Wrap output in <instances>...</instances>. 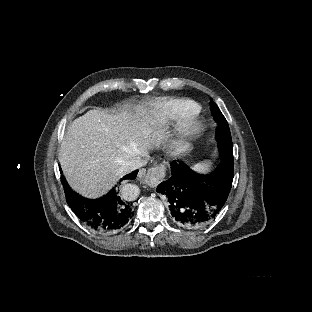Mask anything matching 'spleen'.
Instances as JSON below:
<instances>
[{"instance_id": "obj_1", "label": "spleen", "mask_w": 312, "mask_h": 312, "mask_svg": "<svg viewBox=\"0 0 312 312\" xmlns=\"http://www.w3.org/2000/svg\"><path fill=\"white\" fill-rule=\"evenodd\" d=\"M192 170L200 174H207L212 170V162L210 160L201 161L192 166Z\"/></svg>"}]
</instances>
